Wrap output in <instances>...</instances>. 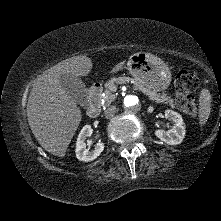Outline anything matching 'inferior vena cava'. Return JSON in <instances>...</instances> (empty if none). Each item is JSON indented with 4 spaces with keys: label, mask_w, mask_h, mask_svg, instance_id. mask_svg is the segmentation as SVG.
Wrapping results in <instances>:
<instances>
[{
    "label": "inferior vena cava",
    "mask_w": 221,
    "mask_h": 221,
    "mask_svg": "<svg viewBox=\"0 0 221 221\" xmlns=\"http://www.w3.org/2000/svg\"><path fill=\"white\" fill-rule=\"evenodd\" d=\"M117 111L116 106H110L104 111L105 118L109 119L115 115Z\"/></svg>",
    "instance_id": "602c4592"
}]
</instances>
